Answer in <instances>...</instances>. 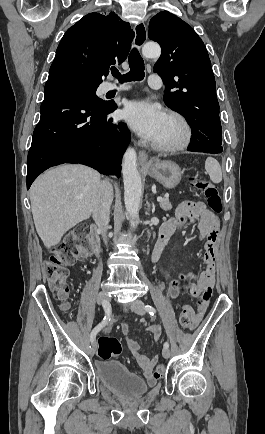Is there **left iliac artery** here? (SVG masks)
<instances>
[{
	"label": "left iliac artery",
	"mask_w": 265,
	"mask_h": 434,
	"mask_svg": "<svg viewBox=\"0 0 265 434\" xmlns=\"http://www.w3.org/2000/svg\"><path fill=\"white\" fill-rule=\"evenodd\" d=\"M145 310L151 315L154 316V314L156 313V310L154 307H152L151 305H146L145 306ZM164 348H169V343L165 342L164 343Z\"/></svg>",
	"instance_id": "left-iliac-artery-1"
}]
</instances>
